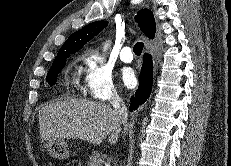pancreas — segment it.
Listing matches in <instances>:
<instances>
[{"mask_svg":"<svg viewBox=\"0 0 231 166\" xmlns=\"http://www.w3.org/2000/svg\"><path fill=\"white\" fill-rule=\"evenodd\" d=\"M102 158L99 152L93 151L87 161V166H102Z\"/></svg>","mask_w":231,"mask_h":166,"instance_id":"obj_1","label":"pancreas"}]
</instances>
